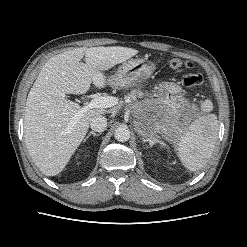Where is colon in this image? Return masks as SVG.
I'll return each mask as SVG.
<instances>
[{
	"mask_svg": "<svg viewBox=\"0 0 247 247\" xmlns=\"http://www.w3.org/2000/svg\"><path fill=\"white\" fill-rule=\"evenodd\" d=\"M168 66L174 74H183L182 83L186 87H194L202 82V76L191 71L193 64L188 60L172 58L169 60Z\"/></svg>",
	"mask_w": 247,
	"mask_h": 247,
	"instance_id": "obj_1",
	"label": "colon"
}]
</instances>
